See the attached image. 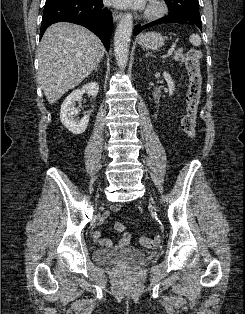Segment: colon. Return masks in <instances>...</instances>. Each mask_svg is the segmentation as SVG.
Returning <instances> with one entry per match:
<instances>
[{
	"instance_id": "1",
	"label": "colon",
	"mask_w": 245,
	"mask_h": 314,
	"mask_svg": "<svg viewBox=\"0 0 245 314\" xmlns=\"http://www.w3.org/2000/svg\"><path fill=\"white\" fill-rule=\"evenodd\" d=\"M201 53L197 49H190L186 55L185 67L189 76V88L187 92V108L182 119L183 131L191 138L196 135L195 124L198 112L199 100L202 88V76L200 71ZM124 225L122 224V228ZM140 244L147 248H155L159 245L157 237H141Z\"/></svg>"
}]
</instances>
